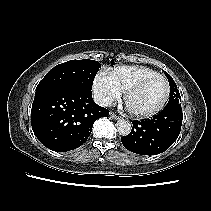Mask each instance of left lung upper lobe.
<instances>
[{
    "label": "left lung upper lobe",
    "mask_w": 211,
    "mask_h": 211,
    "mask_svg": "<svg viewBox=\"0 0 211 211\" xmlns=\"http://www.w3.org/2000/svg\"><path fill=\"white\" fill-rule=\"evenodd\" d=\"M168 81H169V85H170V98H169V102L167 105H172V104H177L180 103V94L179 91L177 89L176 83L174 82V80L172 79V77L164 72Z\"/></svg>",
    "instance_id": "1"
}]
</instances>
